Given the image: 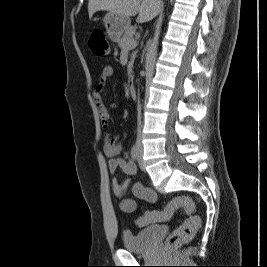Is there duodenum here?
I'll return each instance as SVG.
<instances>
[{
	"mask_svg": "<svg viewBox=\"0 0 267 267\" xmlns=\"http://www.w3.org/2000/svg\"><path fill=\"white\" fill-rule=\"evenodd\" d=\"M128 88H129V92H130V95L135 98L137 93H136V88H135V84H134V79L133 77L131 76L129 78V81H128Z\"/></svg>",
	"mask_w": 267,
	"mask_h": 267,
	"instance_id": "obj_1",
	"label": "duodenum"
}]
</instances>
